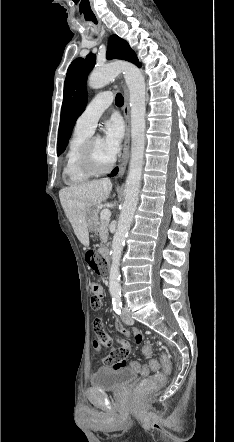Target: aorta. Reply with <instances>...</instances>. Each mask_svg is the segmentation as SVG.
Here are the masks:
<instances>
[{
	"mask_svg": "<svg viewBox=\"0 0 234 442\" xmlns=\"http://www.w3.org/2000/svg\"><path fill=\"white\" fill-rule=\"evenodd\" d=\"M119 73L124 74L129 89L131 108V158L127 175L124 202L111 245V267L109 273V291L119 295V265L125 239L128 235L138 203L145 151V79L138 67L128 62H115L96 68L88 77V86L99 89L112 81Z\"/></svg>",
	"mask_w": 234,
	"mask_h": 442,
	"instance_id": "1",
	"label": "aorta"
}]
</instances>
